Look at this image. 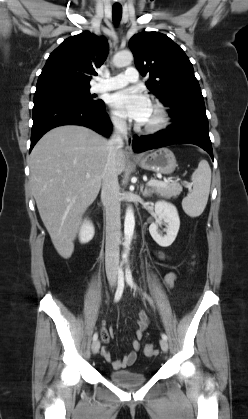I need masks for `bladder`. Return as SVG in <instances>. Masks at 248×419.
I'll use <instances>...</instances> for the list:
<instances>
[{"mask_svg": "<svg viewBox=\"0 0 248 419\" xmlns=\"http://www.w3.org/2000/svg\"><path fill=\"white\" fill-rule=\"evenodd\" d=\"M108 377L114 384L124 388L138 387L147 381L145 374L129 369L109 371Z\"/></svg>", "mask_w": 248, "mask_h": 419, "instance_id": "1", "label": "bladder"}]
</instances>
